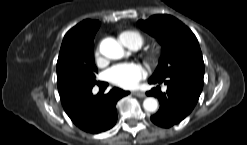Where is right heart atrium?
<instances>
[{"label":"right heart atrium","instance_id":"1","mask_svg":"<svg viewBox=\"0 0 247 145\" xmlns=\"http://www.w3.org/2000/svg\"><path fill=\"white\" fill-rule=\"evenodd\" d=\"M94 60L97 64H100L101 55H100L99 49H96V51L94 52Z\"/></svg>","mask_w":247,"mask_h":145}]
</instances>
